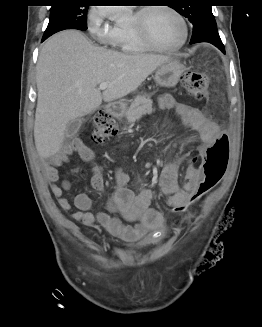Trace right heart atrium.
<instances>
[{"mask_svg":"<svg viewBox=\"0 0 262 327\" xmlns=\"http://www.w3.org/2000/svg\"><path fill=\"white\" fill-rule=\"evenodd\" d=\"M87 28L98 42L106 45L116 43V26L110 22L108 11L104 7H93L89 10Z\"/></svg>","mask_w":262,"mask_h":327,"instance_id":"obj_1","label":"right heart atrium"}]
</instances>
